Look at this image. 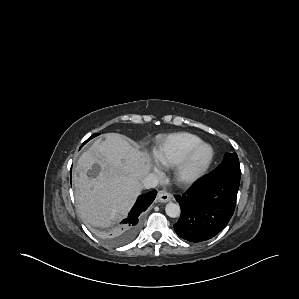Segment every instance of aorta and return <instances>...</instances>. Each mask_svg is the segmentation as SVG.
Instances as JSON below:
<instances>
[{"instance_id":"aorta-1","label":"aorta","mask_w":299,"mask_h":299,"mask_svg":"<svg viewBox=\"0 0 299 299\" xmlns=\"http://www.w3.org/2000/svg\"><path fill=\"white\" fill-rule=\"evenodd\" d=\"M166 214L171 218H177L180 216L181 209L180 206L175 203H168L165 207Z\"/></svg>"}]
</instances>
